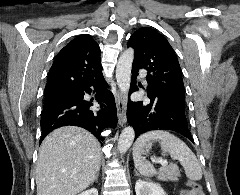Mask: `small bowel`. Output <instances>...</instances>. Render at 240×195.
<instances>
[{
    "instance_id": "obj_1",
    "label": "small bowel",
    "mask_w": 240,
    "mask_h": 195,
    "mask_svg": "<svg viewBox=\"0 0 240 195\" xmlns=\"http://www.w3.org/2000/svg\"><path fill=\"white\" fill-rule=\"evenodd\" d=\"M188 188H200V186H188ZM178 195H187L186 188L182 189L178 192ZM198 195H204V193L201 190V193H198Z\"/></svg>"
}]
</instances>
